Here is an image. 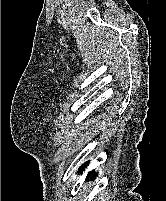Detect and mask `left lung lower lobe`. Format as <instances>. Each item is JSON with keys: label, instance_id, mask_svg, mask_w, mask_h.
Wrapping results in <instances>:
<instances>
[{"label": "left lung lower lobe", "instance_id": "obj_1", "mask_svg": "<svg viewBox=\"0 0 166 201\" xmlns=\"http://www.w3.org/2000/svg\"><path fill=\"white\" fill-rule=\"evenodd\" d=\"M88 163H89V162H86V163H84V164L80 167L79 173L84 171V169L87 167ZM89 176H90L91 178H95V177H96V173H94V172L92 171V172L89 173Z\"/></svg>", "mask_w": 166, "mask_h": 201}]
</instances>
